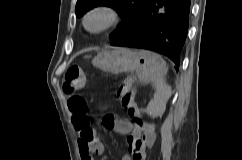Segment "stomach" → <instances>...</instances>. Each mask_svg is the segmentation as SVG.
Returning a JSON list of instances; mask_svg holds the SVG:
<instances>
[{"label": "stomach", "mask_w": 242, "mask_h": 160, "mask_svg": "<svg viewBox=\"0 0 242 160\" xmlns=\"http://www.w3.org/2000/svg\"><path fill=\"white\" fill-rule=\"evenodd\" d=\"M152 55L153 53L149 51L109 49L100 52L93 59L92 64L96 68L115 74L134 70L141 81L148 83L153 77Z\"/></svg>", "instance_id": "1"}]
</instances>
